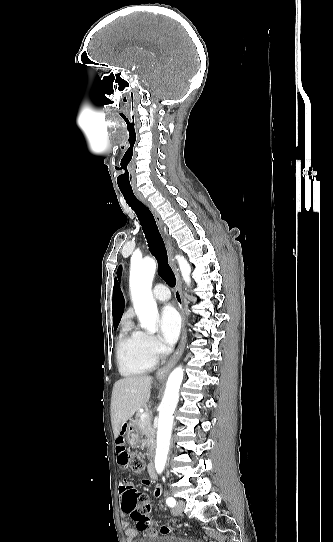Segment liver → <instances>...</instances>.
<instances>
[{
  "instance_id": "1",
  "label": "liver",
  "mask_w": 333,
  "mask_h": 542,
  "mask_svg": "<svg viewBox=\"0 0 333 542\" xmlns=\"http://www.w3.org/2000/svg\"><path fill=\"white\" fill-rule=\"evenodd\" d=\"M152 376H124L115 382L111 400V424L118 438L123 424L131 420L137 410L146 406L150 398Z\"/></svg>"
}]
</instances>
